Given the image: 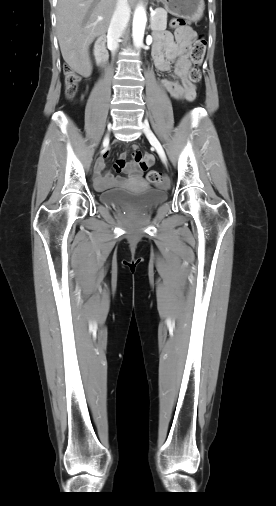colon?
Returning a JSON list of instances; mask_svg holds the SVG:
<instances>
[{"instance_id":"5ec220e1","label":"colon","mask_w":276,"mask_h":506,"mask_svg":"<svg viewBox=\"0 0 276 506\" xmlns=\"http://www.w3.org/2000/svg\"><path fill=\"white\" fill-rule=\"evenodd\" d=\"M171 27L175 30H182L189 28L188 21L184 18L175 17L170 22ZM206 39L202 36H199L193 43L190 58L193 63V67L189 72V78L192 83H199L202 78L201 65L203 63V59L206 51ZM64 89L65 94L68 98H73L78 90L80 83V76L74 70L65 68L64 71ZM137 159H141L139 156ZM146 179L148 182L156 185L167 186L168 181L164 178L162 173L158 171H150L146 175Z\"/></svg>"}]
</instances>
